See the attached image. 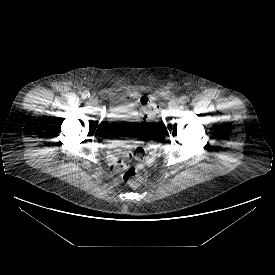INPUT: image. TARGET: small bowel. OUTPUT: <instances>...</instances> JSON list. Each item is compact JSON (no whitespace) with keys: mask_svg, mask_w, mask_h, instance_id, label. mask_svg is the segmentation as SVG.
<instances>
[{"mask_svg":"<svg viewBox=\"0 0 275 275\" xmlns=\"http://www.w3.org/2000/svg\"><path fill=\"white\" fill-rule=\"evenodd\" d=\"M137 101H138V100L129 101V102L127 103V105H129L130 107H135V106H137ZM112 148L118 150V149L120 148V145H118V144H113V145H112ZM119 159H120V157H118V156L115 155V154H110V155H109V161H110V163H111L112 170H113L114 172H120V171H123V170L126 168V162H124V164H123L121 167L118 166Z\"/></svg>","mask_w":275,"mask_h":275,"instance_id":"obj_1","label":"small bowel"}]
</instances>
